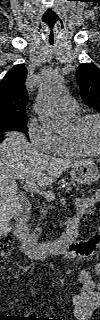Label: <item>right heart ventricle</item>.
<instances>
[{"label":"right heart ventricle","mask_w":100,"mask_h":320,"mask_svg":"<svg viewBox=\"0 0 100 320\" xmlns=\"http://www.w3.org/2000/svg\"><path fill=\"white\" fill-rule=\"evenodd\" d=\"M71 118H76L75 116H70ZM54 154L60 156H82L83 152L74 147L67 139L66 136L57 137V143L53 150Z\"/></svg>","instance_id":"right-heart-ventricle-1"}]
</instances>
